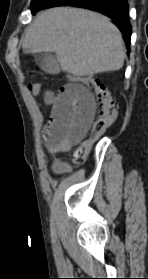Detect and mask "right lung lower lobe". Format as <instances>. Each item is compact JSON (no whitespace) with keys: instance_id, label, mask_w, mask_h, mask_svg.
I'll return each mask as SVG.
<instances>
[{"instance_id":"obj_1","label":"right lung lower lobe","mask_w":148,"mask_h":279,"mask_svg":"<svg viewBox=\"0 0 148 279\" xmlns=\"http://www.w3.org/2000/svg\"><path fill=\"white\" fill-rule=\"evenodd\" d=\"M55 6L81 7L100 12L113 20L124 36L129 50L131 25L128 15L127 0H48L43 9Z\"/></svg>"}]
</instances>
